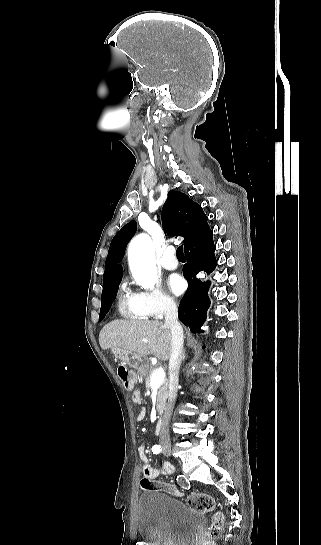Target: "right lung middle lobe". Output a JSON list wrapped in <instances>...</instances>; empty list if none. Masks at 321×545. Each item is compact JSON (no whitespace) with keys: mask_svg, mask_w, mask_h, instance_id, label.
I'll return each instance as SVG.
<instances>
[{"mask_svg":"<svg viewBox=\"0 0 321 545\" xmlns=\"http://www.w3.org/2000/svg\"><path fill=\"white\" fill-rule=\"evenodd\" d=\"M118 285H115L113 287L104 289L102 291V304H101L100 315H99V320L100 321L103 320V318L107 314V312H108V310L110 308V304L114 300V298H115V296L117 294Z\"/></svg>","mask_w":321,"mask_h":545,"instance_id":"right-lung-middle-lobe-1","label":"right lung middle lobe"}]
</instances>
